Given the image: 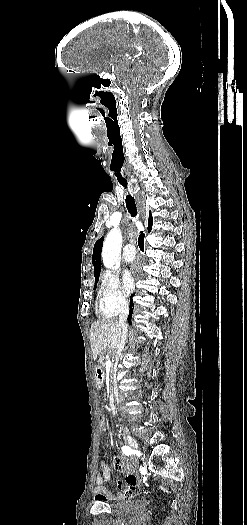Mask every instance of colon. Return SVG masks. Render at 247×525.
<instances>
[{
	"label": "colon",
	"instance_id": "obj_1",
	"mask_svg": "<svg viewBox=\"0 0 247 525\" xmlns=\"http://www.w3.org/2000/svg\"><path fill=\"white\" fill-rule=\"evenodd\" d=\"M97 424L99 427H101V431H106V426L108 424V421L106 418L101 417L98 419Z\"/></svg>",
	"mask_w": 247,
	"mask_h": 525
}]
</instances>
